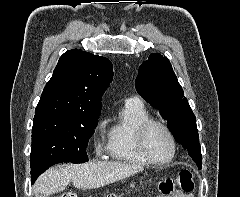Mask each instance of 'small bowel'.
<instances>
[{
	"mask_svg": "<svg viewBox=\"0 0 240 197\" xmlns=\"http://www.w3.org/2000/svg\"><path fill=\"white\" fill-rule=\"evenodd\" d=\"M168 197H194V195L191 193L183 194L179 191H175V192L171 193Z\"/></svg>",
	"mask_w": 240,
	"mask_h": 197,
	"instance_id": "obj_1",
	"label": "small bowel"
}]
</instances>
